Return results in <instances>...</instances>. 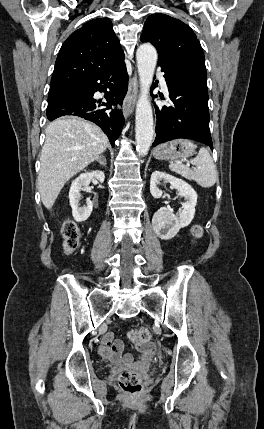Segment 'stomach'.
Instances as JSON below:
<instances>
[{"mask_svg":"<svg viewBox=\"0 0 264 429\" xmlns=\"http://www.w3.org/2000/svg\"><path fill=\"white\" fill-rule=\"evenodd\" d=\"M196 145L187 139H175L157 146L154 157L161 160L176 161L185 159L195 153Z\"/></svg>","mask_w":264,"mask_h":429,"instance_id":"stomach-1","label":"stomach"}]
</instances>
